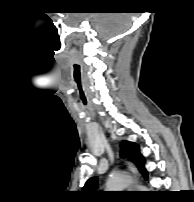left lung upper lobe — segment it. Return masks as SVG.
<instances>
[{
  "label": "left lung upper lobe",
  "instance_id": "obj_1",
  "mask_svg": "<svg viewBox=\"0 0 194 202\" xmlns=\"http://www.w3.org/2000/svg\"><path fill=\"white\" fill-rule=\"evenodd\" d=\"M121 155L128 157L138 167L140 173L144 176V178L148 177V173L144 167L145 159L139 152V146L137 144L129 141H123L121 143ZM97 185V178H90L86 182L83 191L88 193H94L97 188Z\"/></svg>",
  "mask_w": 194,
  "mask_h": 202
}]
</instances>
